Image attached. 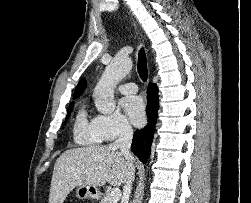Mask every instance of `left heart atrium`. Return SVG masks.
<instances>
[{"label": "left heart atrium", "mask_w": 251, "mask_h": 203, "mask_svg": "<svg viewBox=\"0 0 251 203\" xmlns=\"http://www.w3.org/2000/svg\"><path fill=\"white\" fill-rule=\"evenodd\" d=\"M122 107L134 125L140 126L145 121V104L141 97L131 96L122 100Z\"/></svg>", "instance_id": "obj_1"}]
</instances>
